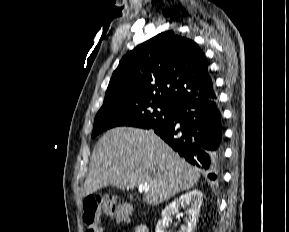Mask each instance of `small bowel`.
Segmentation results:
<instances>
[{"label": "small bowel", "instance_id": "1", "mask_svg": "<svg viewBox=\"0 0 289 232\" xmlns=\"http://www.w3.org/2000/svg\"><path fill=\"white\" fill-rule=\"evenodd\" d=\"M133 232H149V231H148V228L145 225L139 224V225H137L135 227Z\"/></svg>", "mask_w": 289, "mask_h": 232}]
</instances>
